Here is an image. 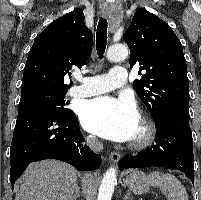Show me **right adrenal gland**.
Here are the masks:
<instances>
[{"instance_id": "2a0ac1e0", "label": "right adrenal gland", "mask_w": 201, "mask_h": 200, "mask_svg": "<svg viewBox=\"0 0 201 200\" xmlns=\"http://www.w3.org/2000/svg\"><path fill=\"white\" fill-rule=\"evenodd\" d=\"M79 197H80V187H79V185L77 184V185H76V189H75V194H74L72 200H77Z\"/></svg>"}]
</instances>
